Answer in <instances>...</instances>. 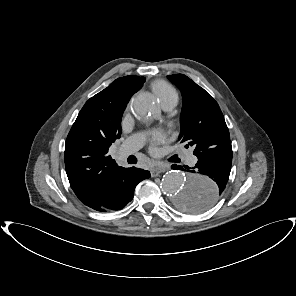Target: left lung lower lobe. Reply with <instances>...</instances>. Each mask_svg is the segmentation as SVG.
Here are the masks:
<instances>
[{"label":"left lung lower lobe","mask_w":296,"mask_h":296,"mask_svg":"<svg viewBox=\"0 0 296 296\" xmlns=\"http://www.w3.org/2000/svg\"><path fill=\"white\" fill-rule=\"evenodd\" d=\"M231 142L220 145L218 151H209L202 157H198V162L192 168L188 166L173 165V169H180L191 173L190 177L208 176L216 183L215 191H206L201 197H192L187 202V210L191 213H199L209 209L219 199L223 193L229 179L232 164Z\"/></svg>","instance_id":"left-lung-lower-lobe-1"}]
</instances>
